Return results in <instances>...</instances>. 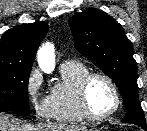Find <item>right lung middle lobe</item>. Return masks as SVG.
Masks as SVG:
<instances>
[{
	"label": "right lung middle lobe",
	"instance_id": "dd1d6c3e",
	"mask_svg": "<svg viewBox=\"0 0 147 131\" xmlns=\"http://www.w3.org/2000/svg\"><path fill=\"white\" fill-rule=\"evenodd\" d=\"M30 72L31 68H0V112L29 111Z\"/></svg>",
	"mask_w": 147,
	"mask_h": 131
}]
</instances>
